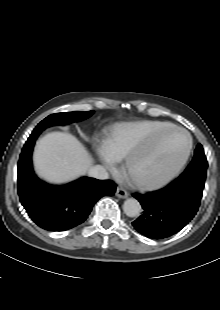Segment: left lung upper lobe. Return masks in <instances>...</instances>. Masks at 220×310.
I'll use <instances>...</instances> for the list:
<instances>
[{
	"mask_svg": "<svg viewBox=\"0 0 220 310\" xmlns=\"http://www.w3.org/2000/svg\"><path fill=\"white\" fill-rule=\"evenodd\" d=\"M208 163L201 144H198L194 152V158L186 170L180 175L182 179L199 178L205 180Z\"/></svg>",
	"mask_w": 220,
	"mask_h": 310,
	"instance_id": "obj_1",
	"label": "left lung upper lobe"
}]
</instances>
